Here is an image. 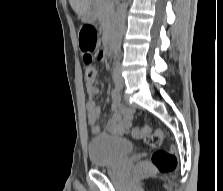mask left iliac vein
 <instances>
[{"label": "left iliac vein", "instance_id": "1", "mask_svg": "<svg viewBox=\"0 0 223 191\" xmlns=\"http://www.w3.org/2000/svg\"><path fill=\"white\" fill-rule=\"evenodd\" d=\"M120 88H122V86H123V80H120Z\"/></svg>", "mask_w": 223, "mask_h": 191}]
</instances>
